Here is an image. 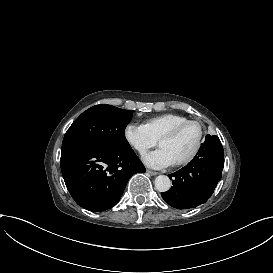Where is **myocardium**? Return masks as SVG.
<instances>
[{
	"instance_id": "f54148a6",
	"label": "myocardium",
	"mask_w": 273,
	"mask_h": 273,
	"mask_svg": "<svg viewBox=\"0 0 273 273\" xmlns=\"http://www.w3.org/2000/svg\"><path fill=\"white\" fill-rule=\"evenodd\" d=\"M191 125H197L199 128V135H198L197 141L195 143V146H194L192 152L185 159L175 163L176 166H184V165L191 163L199 154L202 144H203V139H204V134H205L203 124L198 120H189L179 126H176L172 129H170L169 131L163 133L158 140V144L160 145L161 140L166 139V138L175 137L176 135H178L179 133H181L182 131H184L186 128H188Z\"/></svg>"
}]
</instances>
